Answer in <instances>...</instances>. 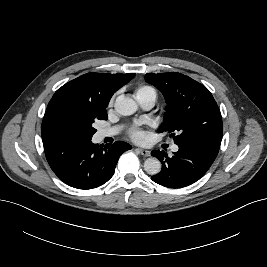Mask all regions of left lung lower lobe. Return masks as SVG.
I'll list each match as a JSON object with an SVG mask.
<instances>
[{
	"instance_id": "obj_1",
	"label": "left lung lower lobe",
	"mask_w": 267,
	"mask_h": 267,
	"mask_svg": "<svg viewBox=\"0 0 267 267\" xmlns=\"http://www.w3.org/2000/svg\"><path fill=\"white\" fill-rule=\"evenodd\" d=\"M178 152L168 157L164 151L153 150L151 155L162 162V170L151 178L169 188H182L199 180L217 157L220 142L203 141L195 144L178 145Z\"/></svg>"
}]
</instances>
